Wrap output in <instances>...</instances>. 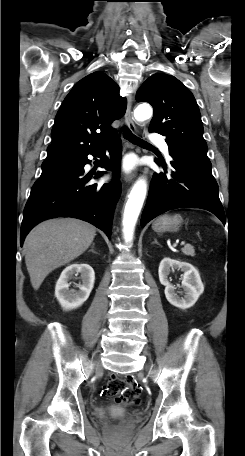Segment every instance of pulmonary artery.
Instances as JSON below:
<instances>
[{"label": "pulmonary artery", "instance_id": "obj_1", "mask_svg": "<svg viewBox=\"0 0 245 456\" xmlns=\"http://www.w3.org/2000/svg\"><path fill=\"white\" fill-rule=\"evenodd\" d=\"M149 139L159 145L161 150L166 154V156H169V148L163 137L159 134L152 133L149 135Z\"/></svg>", "mask_w": 245, "mask_h": 456}]
</instances>
